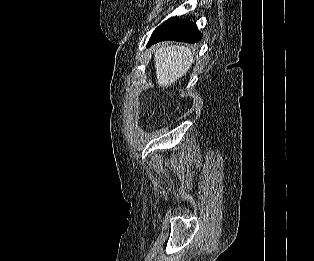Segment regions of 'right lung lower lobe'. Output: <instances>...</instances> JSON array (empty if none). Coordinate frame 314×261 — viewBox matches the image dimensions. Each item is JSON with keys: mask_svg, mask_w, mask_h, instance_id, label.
<instances>
[{"mask_svg": "<svg viewBox=\"0 0 314 261\" xmlns=\"http://www.w3.org/2000/svg\"><path fill=\"white\" fill-rule=\"evenodd\" d=\"M202 35L195 24L187 19L168 20L152 34L148 46L164 40H174L187 43L200 41Z\"/></svg>", "mask_w": 314, "mask_h": 261, "instance_id": "right-lung-lower-lobe-1", "label": "right lung lower lobe"}]
</instances>
